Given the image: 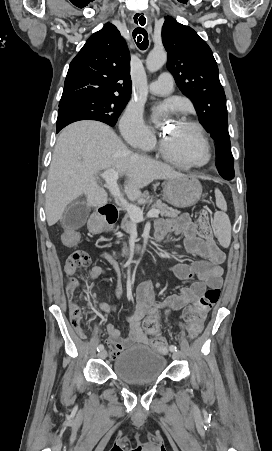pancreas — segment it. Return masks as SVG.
<instances>
[{
	"mask_svg": "<svg viewBox=\"0 0 272 451\" xmlns=\"http://www.w3.org/2000/svg\"><path fill=\"white\" fill-rule=\"evenodd\" d=\"M148 198V194H142L141 198H138V200H146ZM141 206V204H139ZM151 210H160L162 216H168V218H177L178 214H181L179 210H173V208H168L167 204H162L160 200H156L155 204H152ZM135 222L131 220L129 214H125L122 222H121V229H124L126 233H130L132 227L134 226ZM127 243H124V249H126Z\"/></svg>",
	"mask_w": 272,
	"mask_h": 451,
	"instance_id": "1",
	"label": "pancreas"
}]
</instances>
